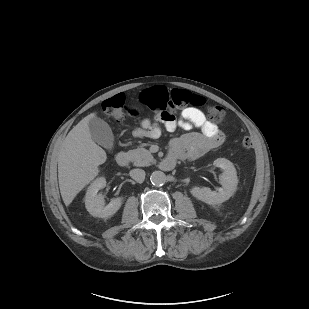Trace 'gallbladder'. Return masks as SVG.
<instances>
[{
    "label": "gallbladder",
    "instance_id": "bac80fb5",
    "mask_svg": "<svg viewBox=\"0 0 309 309\" xmlns=\"http://www.w3.org/2000/svg\"><path fill=\"white\" fill-rule=\"evenodd\" d=\"M92 139L102 147L111 150L114 147V135L108 123L98 117L88 122Z\"/></svg>",
    "mask_w": 309,
    "mask_h": 309
}]
</instances>
